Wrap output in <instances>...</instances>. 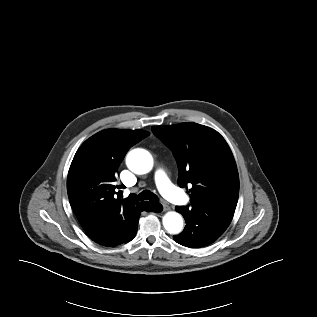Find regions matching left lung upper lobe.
<instances>
[{
  "label": "left lung upper lobe",
  "instance_id": "obj_1",
  "mask_svg": "<svg viewBox=\"0 0 317 317\" xmlns=\"http://www.w3.org/2000/svg\"><path fill=\"white\" fill-rule=\"evenodd\" d=\"M176 158L180 187L191 184V206L208 205L235 211L239 176L232 152L214 129L193 122L153 126ZM189 207V206H187Z\"/></svg>",
  "mask_w": 317,
  "mask_h": 317
}]
</instances>
